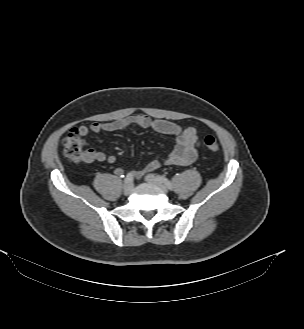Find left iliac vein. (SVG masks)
Returning a JSON list of instances; mask_svg holds the SVG:
<instances>
[{"label":"left iliac vein","mask_w":304,"mask_h":329,"mask_svg":"<svg viewBox=\"0 0 304 329\" xmlns=\"http://www.w3.org/2000/svg\"><path fill=\"white\" fill-rule=\"evenodd\" d=\"M145 180L148 182V183H151V184H154V185H157L158 187H160L164 192H167V188L166 186L161 182V180L153 175V174H148L145 176Z\"/></svg>","instance_id":"obj_1"}]
</instances>
